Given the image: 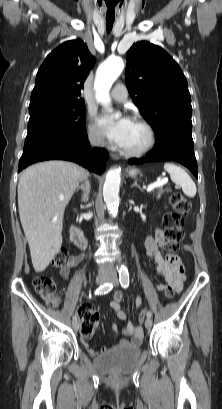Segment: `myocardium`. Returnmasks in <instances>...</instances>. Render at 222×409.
I'll list each match as a JSON object with an SVG mask.
<instances>
[{
  "label": "myocardium",
  "mask_w": 222,
  "mask_h": 409,
  "mask_svg": "<svg viewBox=\"0 0 222 409\" xmlns=\"http://www.w3.org/2000/svg\"><path fill=\"white\" fill-rule=\"evenodd\" d=\"M133 122L139 124L146 130L147 135H148L147 143L142 148L137 149V150L121 148V152L124 155L130 156V157H141V156L146 155L148 152H150L152 148L154 147L156 143V133H155L153 126L148 121H146L145 119L141 117H135L133 119Z\"/></svg>",
  "instance_id": "f54148a6"
}]
</instances>
